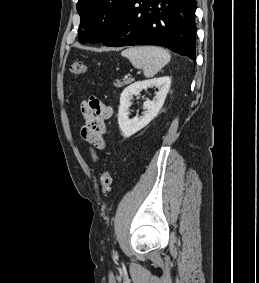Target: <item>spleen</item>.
Wrapping results in <instances>:
<instances>
[{
  "label": "spleen",
  "instance_id": "1",
  "mask_svg": "<svg viewBox=\"0 0 259 283\" xmlns=\"http://www.w3.org/2000/svg\"><path fill=\"white\" fill-rule=\"evenodd\" d=\"M121 55L128 58L135 68L142 69L147 78L155 76L171 59L166 49L156 46L129 47Z\"/></svg>",
  "mask_w": 259,
  "mask_h": 283
}]
</instances>
